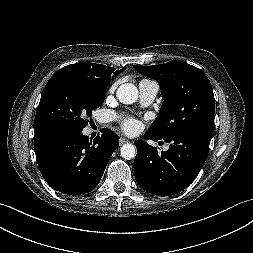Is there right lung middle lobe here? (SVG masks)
I'll return each mask as SVG.
<instances>
[{
	"instance_id": "dd1d6c3e",
	"label": "right lung middle lobe",
	"mask_w": 253,
	"mask_h": 253,
	"mask_svg": "<svg viewBox=\"0 0 253 253\" xmlns=\"http://www.w3.org/2000/svg\"><path fill=\"white\" fill-rule=\"evenodd\" d=\"M106 89L107 85L84 76L56 72L42 92L34 132L49 128L82 131L92 111L103 104Z\"/></svg>"
}]
</instances>
